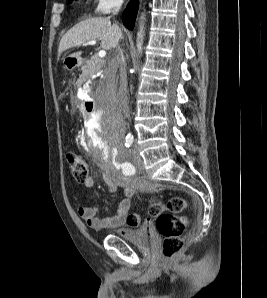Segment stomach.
Returning <instances> with one entry per match:
<instances>
[{"label":"stomach","instance_id":"stomach-1","mask_svg":"<svg viewBox=\"0 0 267 298\" xmlns=\"http://www.w3.org/2000/svg\"><path fill=\"white\" fill-rule=\"evenodd\" d=\"M80 63H81V61H80L79 58H75V59H74V67L79 66ZM66 67H67V65H66Z\"/></svg>","mask_w":267,"mask_h":298}]
</instances>
